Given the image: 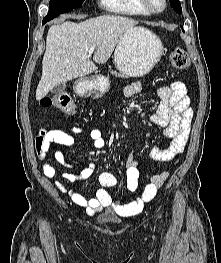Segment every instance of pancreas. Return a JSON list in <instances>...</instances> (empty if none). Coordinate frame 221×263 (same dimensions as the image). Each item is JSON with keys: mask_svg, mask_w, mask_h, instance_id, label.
<instances>
[{"mask_svg": "<svg viewBox=\"0 0 221 263\" xmlns=\"http://www.w3.org/2000/svg\"><path fill=\"white\" fill-rule=\"evenodd\" d=\"M110 72H111L112 75H115V76H118V77H121V78L127 77L125 74L118 73V72L113 71V70H111Z\"/></svg>", "mask_w": 221, "mask_h": 263, "instance_id": "pancreas-1", "label": "pancreas"}]
</instances>
